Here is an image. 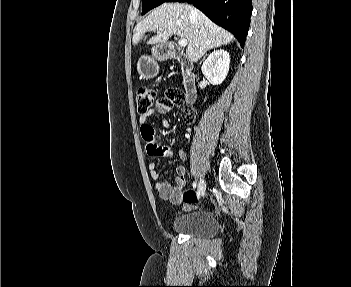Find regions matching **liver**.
Returning <instances> with one entry per match:
<instances>
[{"label":"liver","mask_w":351,"mask_h":287,"mask_svg":"<svg viewBox=\"0 0 351 287\" xmlns=\"http://www.w3.org/2000/svg\"><path fill=\"white\" fill-rule=\"evenodd\" d=\"M148 31L157 33L147 41L151 45L166 43L172 35L186 39V54L192 61L234 39L231 33L213 23L201 11L183 3H164L154 9L134 28L133 45H137Z\"/></svg>","instance_id":"obj_1"}]
</instances>
